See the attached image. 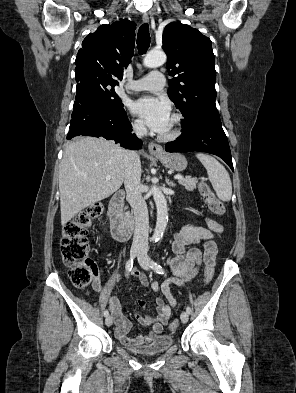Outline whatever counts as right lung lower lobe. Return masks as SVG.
<instances>
[{
	"label": "right lung lower lobe",
	"instance_id": "right-lung-lower-lobe-1",
	"mask_svg": "<svg viewBox=\"0 0 296 393\" xmlns=\"http://www.w3.org/2000/svg\"><path fill=\"white\" fill-rule=\"evenodd\" d=\"M67 139L77 135L104 137L122 147L136 149L141 141L132 134L125 110L106 105L89 87L78 84Z\"/></svg>",
	"mask_w": 296,
	"mask_h": 393
}]
</instances>
